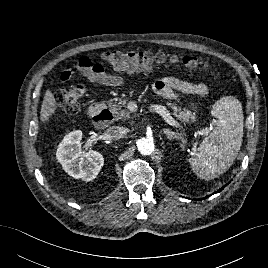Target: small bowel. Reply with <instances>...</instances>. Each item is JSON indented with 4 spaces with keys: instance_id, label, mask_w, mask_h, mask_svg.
Instances as JSON below:
<instances>
[{
    "instance_id": "small-bowel-1",
    "label": "small bowel",
    "mask_w": 268,
    "mask_h": 268,
    "mask_svg": "<svg viewBox=\"0 0 268 268\" xmlns=\"http://www.w3.org/2000/svg\"><path fill=\"white\" fill-rule=\"evenodd\" d=\"M88 63L84 69L80 67V62ZM78 70L88 79L92 86L98 84L119 87L125 83V78L119 74L110 73L105 70L101 63L84 57L77 63ZM154 90L168 100H177V93L193 94L200 97H205L209 93V88L204 83H194L189 81L179 80L174 77H164L154 83Z\"/></svg>"
}]
</instances>
